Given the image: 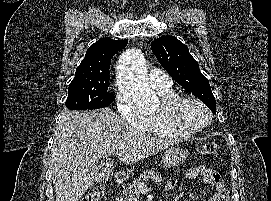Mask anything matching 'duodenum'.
Segmentation results:
<instances>
[{
    "instance_id": "obj_1",
    "label": "duodenum",
    "mask_w": 271,
    "mask_h": 201,
    "mask_svg": "<svg viewBox=\"0 0 271 201\" xmlns=\"http://www.w3.org/2000/svg\"><path fill=\"white\" fill-rule=\"evenodd\" d=\"M125 182V175L123 172L118 171L113 179V183L116 186L122 185Z\"/></svg>"
}]
</instances>
